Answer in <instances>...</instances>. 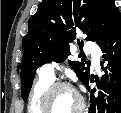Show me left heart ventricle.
Masks as SVG:
<instances>
[{"instance_id":"obj_1","label":"left heart ventricle","mask_w":121,"mask_h":113,"mask_svg":"<svg viewBox=\"0 0 121 113\" xmlns=\"http://www.w3.org/2000/svg\"><path fill=\"white\" fill-rule=\"evenodd\" d=\"M77 105L76 96L68 90H60L54 98L53 110L57 112H69Z\"/></svg>"}]
</instances>
